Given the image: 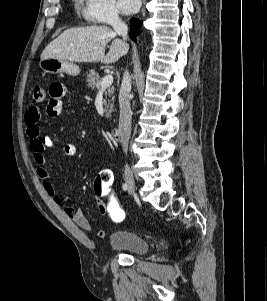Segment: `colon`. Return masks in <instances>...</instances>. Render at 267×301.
Here are the masks:
<instances>
[{
	"instance_id": "colon-1",
	"label": "colon",
	"mask_w": 267,
	"mask_h": 301,
	"mask_svg": "<svg viewBox=\"0 0 267 301\" xmlns=\"http://www.w3.org/2000/svg\"><path fill=\"white\" fill-rule=\"evenodd\" d=\"M45 94L41 86L32 88V102L39 104L44 100ZM113 174L109 169L99 171L93 182V197L102 204L105 215L113 222L120 223L125 219L126 212L119 201L113 186Z\"/></svg>"
}]
</instances>
